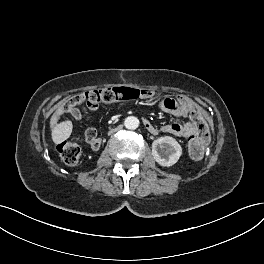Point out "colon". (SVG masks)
<instances>
[{
  "label": "colon",
  "instance_id": "5ec220e1",
  "mask_svg": "<svg viewBox=\"0 0 264 264\" xmlns=\"http://www.w3.org/2000/svg\"><path fill=\"white\" fill-rule=\"evenodd\" d=\"M140 92L131 88H104L92 90L84 94L71 97L70 103H81L86 101L88 106H98L99 104H112L120 101L136 99ZM189 118L196 127V132L188 141V150L193 158L199 159L203 156L210 140V135L201 113L193 109ZM57 151L62 160L67 165H75L81 157V148L74 141H63L57 145Z\"/></svg>",
  "mask_w": 264,
  "mask_h": 264
}]
</instances>
